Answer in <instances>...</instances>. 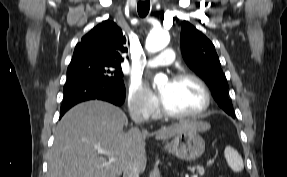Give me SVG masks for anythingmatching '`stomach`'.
Listing matches in <instances>:
<instances>
[{
    "label": "stomach",
    "instance_id": "1",
    "mask_svg": "<svg viewBox=\"0 0 287 177\" xmlns=\"http://www.w3.org/2000/svg\"><path fill=\"white\" fill-rule=\"evenodd\" d=\"M165 149L181 160L194 161L202 156L205 141L198 130L188 129L175 135L171 142L166 144Z\"/></svg>",
    "mask_w": 287,
    "mask_h": 177
}]
</instances>
